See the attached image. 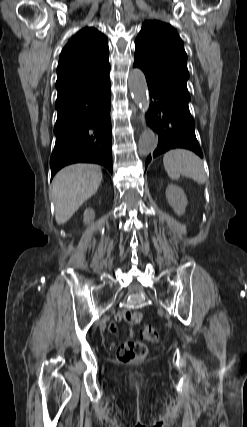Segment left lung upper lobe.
<instances>
[{"mask_svg":"<svg viewBox=\"0 0 247 427\" xmlns=\"http://www.w3.org/2000/svg\"><path fill=\"white\" fill-rule=\"evenodd\" d=\"M134 67L142 69L146 78L190 100L186 85L189 77L187 54L183 41L171 25L156 20L144 22L135 40Z\"/></svg>","mask_w":247,"mask_h":427,"instance_id":"1","label":"left lung upper lobe"}]
</instances>
